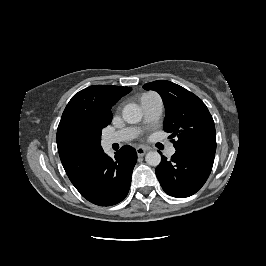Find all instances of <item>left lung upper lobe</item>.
I'll use <instances>...</instances> for the list:
<instances>
[{"label": "left lung upper lobe", "instance_id": "5c2ea615", "mask_svg": "<svg viewBox=\"0 0 266 266\" xmlns=\"http://www.w3.org/2000/svg\"><path fill=\"white\" fill-rule=\"evenodd\" d=\"M162 97L166 115L164 130L179 151L215 152L216 131L213 118L203 101L192 92L170 81L158 80L143 86Z\"/></svg>", "mask_w": 266, "mask_h": 266}]
</instances>
